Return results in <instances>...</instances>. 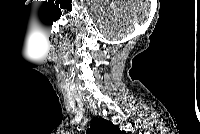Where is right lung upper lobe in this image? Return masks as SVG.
I'll list each match as a JSON object with an SVG mask.
<instances>
[{
  "instance_id": "1",
  "label": "right lung upper lobe",
  "mask_w": 200,
  "mask_h": 134,
  "mask_svg": "<svg viewBox=\"0 0 200 134\" xmlns=\"http://www.w3.org/2000/svg\"><path fill=\"white\" fill-rule=\"evenodd\" d=\"M123 132L118 126L102 118L93 120L88 131L89 134H120Z\"/></svg>"
}]
</instances>
